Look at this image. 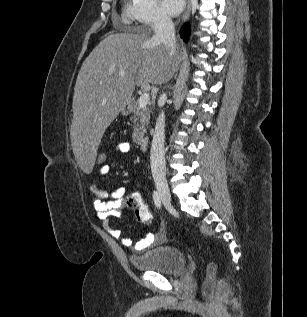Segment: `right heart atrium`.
<instances>
[{"instance_id":"right-heart-atrium-1","label":"right heart atrium","mask_w":307,"mask_h":317,"mask_svg":"<svg viewBox=\"0 0 307 317\" xmlns=\"http://www.w3.org/2000/svg\"><path fill=\"white\" fill-rule=\"evenodd\" d=\"M127 15L139 24L152 28L169 23L168 16L160 9L157 0H130Z\"/></svg>"}]
</instances>
